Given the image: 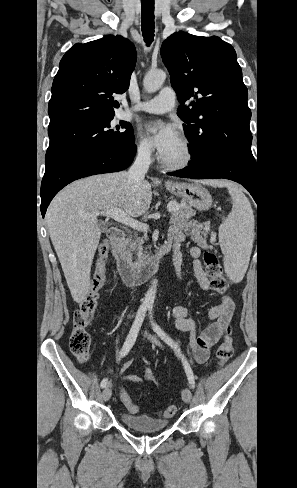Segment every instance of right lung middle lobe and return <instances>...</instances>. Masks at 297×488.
Wrapping results in <instances>:
<instances>
[{
  "instance_id": "obj_1",
  "label": "right lung middle lobe",
  "mask_w": 297,
  "mask_h": 488,
  "mask_svg": "<svg viewBox=\"0 0 297 488\" xmlns=\"http://www.w3.org/2000/svg\"><path fill=\"white\" fill-rule=\"evenodd\" d=\"M113 118L114 116L85 121L48 133L50 144L45 156L46 169L78 151L133 143L135 139L132 126L127 122H120V125L111 128L110 122Z\"/></svg>"
}]
</instances>
